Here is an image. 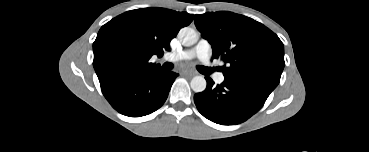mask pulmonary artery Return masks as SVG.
I'll return each mask as SVG.
<instances>
[{
    "label": "pulmonary artery",
    "instance_id": "pulmonary-artery-1",
    "mask_svg": "<svg viewBox=\"0 0 369 152\" xmlns=\"http://www.w3.org/2000/svg\"><path fill=\"white\" fill-rule=\"evenodd\" d=\"M211 56L212 49L210 43L205 39H201L194 48L174 54H169L166 56V58L170 61L191 60L193 58H198L206 66H209ZM214 79L217 83H222L224 81V75L217 72L214 75Z\"/></svg>",
    "mask_w": 369,
    "mask_h": 152
}]
</instances>
